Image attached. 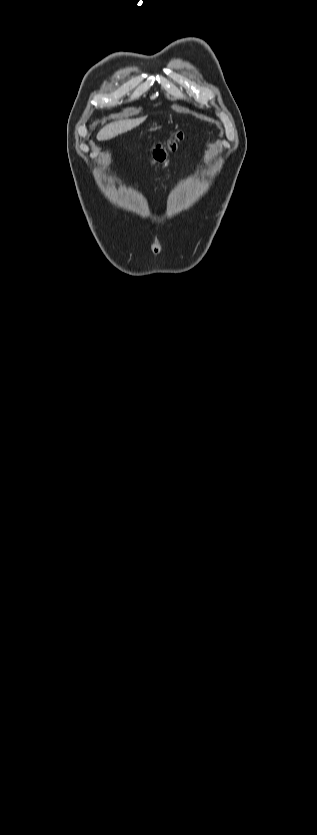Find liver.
Here are the masks:
<instances>
[{
	"mask_svg": "<svg viewBox=\"0 0 317 835\" xmlns=\"http://www.w3.org/2000/svg\"><path fill=\"white\" fill-rule=\"evenodd\" d=\"M146 120V116L134 118V119H123L111 122L104 126L97 134L98 141H105L110 140L119 134L125 133L127 131L132 130L133 128L139 126Z\"/></svg>",
	"mask_w": 317,
	"mask_h": 835,
	"instance_id": "1",
	"label": "liver"
}]
</instances>
